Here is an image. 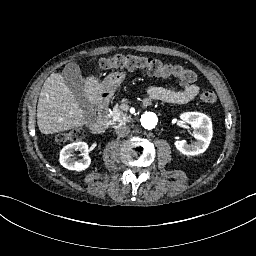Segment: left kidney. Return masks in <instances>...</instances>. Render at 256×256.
<instances>
[{
	"mask_svg": "<svg viewBox=\"0 0 256 256\" xmlns=\"http://www.w3.org/2000/svg\"><path fill=\"white\" fill-rule=\"evenodd\" d=\"M180 119L194 129L195 142L188 144L186 140L175 141V147L184 155H198L206 151L211 141L212 121L207 115L199 112H184Z\"/></svg>",
	"mask_w": 256,
	"mask_h": 256,
	"instance_id": "left-kidney-1",
	"label": "left kidney"
}]
</instances>
